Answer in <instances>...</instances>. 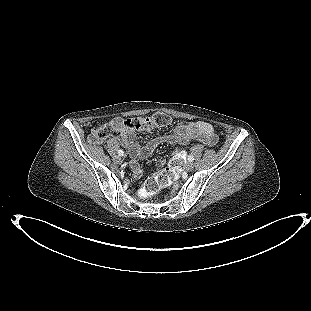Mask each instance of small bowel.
I'll list each match as a JSON object with an SVG mask.
<instances>
[{"label":"small bowel","instance_id":"obj_1","mask_svg":"<svg viewBox=\"0 0 311 311\" xmlns=\"http://www.w3.org/2000/svg\"><path fill=\"white\" fill-rule=\"evenodd\" d=\"M121 120L115 118L112 121ZM120 139L122 144L128 148L130 156V169L134 178H139L142 170L139 161L148 158L154 150L163 143L177 144L186 143L193 139H200L208 145H214L217 136L212 125L205 121H194L175 126L168 134L155 137L148 141L143 147H140L135 140V133L132 130L123 128ZM164 160H158L157 164L162 165Z\"/></svg>","mask_w":311,"mask_h":311}]
</instances>
